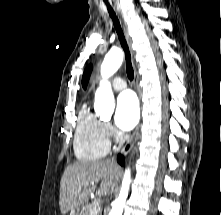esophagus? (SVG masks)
Instances as JSON below:
<instances>
[{
    "instance_id": "obj_1",
    "label": "esophagus",
    "mask_w": 221,
    "mask_h": 215,
    "mask_svg": "<svg viewBox=\"0 0 221 215\" xmlns=\"http://www.w3.org/2000/svg\"><path fill=\"white\" fill-rule=\"evenodd\" d=\"M116 9H117V12H118V14H119V16L121 18L124 34H125L128 46H129L130 51H131V55L133 56V50H132V47H131L132 39H131V36L129 34L128 24L125 21L123 15H122L121 9H120L118 4H116ZM133 67H134V80H133L134 86H135V88L137 90L139 98H141L140 89H139V76H138L136 67L135 66H133ZM139 127H140V125L137 126V128L135 129V131H134L133 135L131 136V138L127 141L125 146L122 148V150H121V154L122 155H127L130 152V150L132 149L133 145L135 144V142L137 140V136H138V133H139Z\"/></svg>"
}]
</instances>
